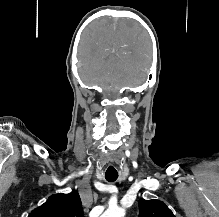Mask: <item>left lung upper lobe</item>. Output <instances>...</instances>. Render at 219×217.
<instances>
[{"mask_svg": "<svg viewBox=\"0 0 219 217\" xmlns=\"http://www.w3.org/2000/svg\"><path fill=\"white\" fill-rule=\"evenodd\" d=\"M139 217H175L172 211L159 200H139Z\"/></svg>", "mask_w": 219, "mask_h": 217, "instance_id": "5c2ea615", "label": "left lung upper lobe"}]
</instances>
